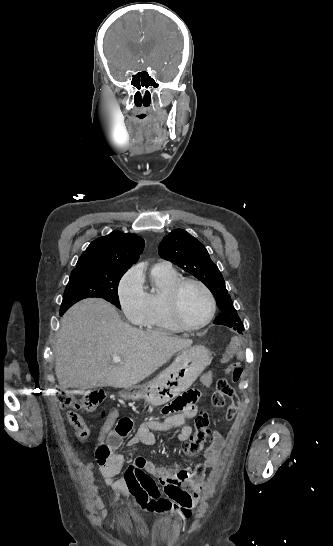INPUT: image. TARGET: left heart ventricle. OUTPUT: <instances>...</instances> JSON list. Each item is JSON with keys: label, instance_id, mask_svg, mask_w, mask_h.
<instances>
[{"label": "left heart ventricle", "instance_id": "left-heart-ventricle-1", "mask_svg": "<svg viewBox=\"0 0 333 546\" xmlns=\"http://www.w3.org/2000/svg\"><path fill=\"white\" fill-rule=\"evenodd\" d=\"M179 306L184 320L190 325L202 323L209 314V300L205 292L195 284L183 287Z\"/></svg>", "mask_w": 333, "mask_h": 546}]
</instances>
